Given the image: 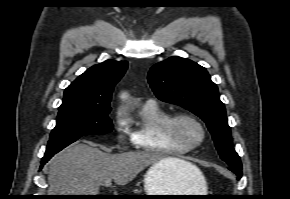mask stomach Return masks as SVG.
I'll list each match as a JSON object with an SVG mask.
<instances>
[{
  "label": "stomach",
  "mask_w": 290,
  "mask_h": 199,
  "mask_svg": "<svg viewBox=\"0 0 290 199\" xmlns=\"http://www.w3.org/2000/svg\"><path fill=\"white\" fill-rule=\"evenodd\" d=\"M146 195H206L207 186L202 173L185 179L176 175L162 163L153 164L144 175ZM161 199H194L188 197H150Z\"/></svg>",
  "instance_id": "obj_1"
}]
</instances>
